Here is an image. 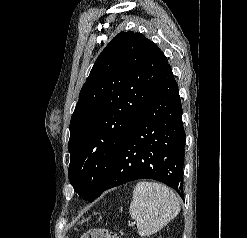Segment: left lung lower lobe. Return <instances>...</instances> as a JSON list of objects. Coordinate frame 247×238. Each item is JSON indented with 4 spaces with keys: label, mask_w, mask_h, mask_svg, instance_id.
I'll return each mask as SVG.
<instances>
[{
    "label": "left lung lower lobe",
    "mask_w": 247,
    "mask_h": 238,
    "mask_svg": "<svg viewBox=\"0 0 247 238\" xmlns=\"http://www.w3.org/2000/svg\"><path fill=\"white\" fill-rule=\"evenodd\" d=\"M184 145L181 100L167 64L156 90L119 147L100 195L130 181L154 179L183 196Z\"/></svg>",
    "instance_id": "1"
}]
</instances>
